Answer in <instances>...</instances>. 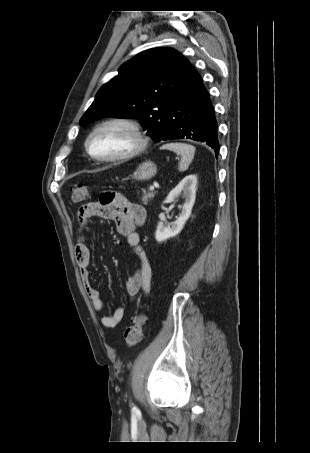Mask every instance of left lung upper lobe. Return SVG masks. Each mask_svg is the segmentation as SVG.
Here are the masks:
<instances>
[{"label":"left lung upper lobe","mask_w":310,"mask_h":453,"mask_svg":"<svg viewBox=\"0 0 310 453\" xmlns=\"http://www.w3.org/2000/svg\"><path fill=\"white\" fill-rule=\"evenodd\" d=\"M190 62L171 48H154L124 63L97 93L80 125L106 116L138 118L160 141L168 113L187 81Z\"/></svg>","instance_id":"left-lung-upper-lobe-1"}]
</instances>
